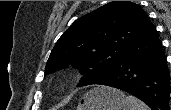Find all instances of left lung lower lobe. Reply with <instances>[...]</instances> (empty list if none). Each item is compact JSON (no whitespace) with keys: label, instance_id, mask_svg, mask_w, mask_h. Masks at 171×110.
Instances as JSON below:
<instances>
[{"label":"left lung lower lobe","instance_id":"1","mask_svg":"<svg viewBox=\"0 0 171 110\" xmlns=\"http://www.w3.org/2000/svg\"><path fill=\"white\" fill-rule=\"evenodd\" d=\"M95 84L124 90L152 110H170V72L162 43L151 21L114 69Z\"/></svg>","mask_w":171,"mask_h":110}]
</instances>
